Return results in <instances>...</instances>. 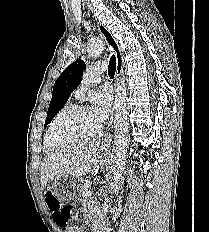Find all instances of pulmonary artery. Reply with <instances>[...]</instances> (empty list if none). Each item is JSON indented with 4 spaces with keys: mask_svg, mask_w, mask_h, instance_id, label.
I'll list each match as a JSON object with an SVG mask.
<instances>
[{
    "mask_svg": "<svg viewBox=\"0 0 209 232\" xmlns=\"http://www.w3.org/2000/svg\"><path fill=\"white\" fill-rule=\"evenodd\" d=\"M107 70V64L104 61L97 62L87 68L83 74L80 86L74 91V97L80 98L90 87L101 81V75Z\"/></svg>",
    "mask_w": 209,
    "mask_h": 232,
    "instance_id": "pulmonary-artery-1",
    "label": "pulmonary artery"
}]
</instances>
